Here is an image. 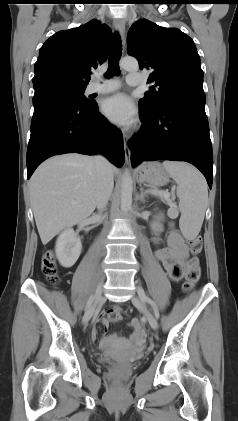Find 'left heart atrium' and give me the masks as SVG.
<instances>
[{"label": "left heart atrium", "mask_w": 238, "mask_h": 421, "mask_svg": "<svg viewBox=\"0 0 238 421\" xmlns=\"http://www.w3.org/2000/svg\"><path fill=\"white\" fill-rule=\"evenodd\" d=\"M103 114L113 123L129 125L135 120V108L130 98L122 93L104 100Z\"/></svg>", "instance_id": "1"}]
</instances>
